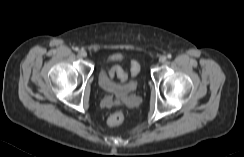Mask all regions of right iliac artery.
<instances>
[{
	"label": "right iliac artery",
	"mask_w": 244,
	"mask_h": 157,
	"mask_svg": "<svg viewBox=\"0 0 244 157\" xmlns=\"http://www.w3.org/2000/svg\"><path fill=\"white\" fill-rule=\"evenodd\" d=\"M75 51H79V48H78V47H76V48H75Z\"/></svg>",
	"instance_id": "1"
}]
</instances>
